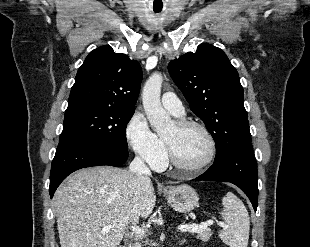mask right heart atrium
Masks as SVG:
<instances>
[{
  "instance_id": "obj_1",
  "label": "right heart atrium",
  "mask_w": 310,
  "mask_h": 247,
  "mask_svg": "<svg viewBox=\"0 0 310 247\" xmlns=\"http://www.w3.org/2000/svg\"><path fill=\"white\" fill-rule=\"evenodd\" d=\"M125 138L131 150L154 169L164 166L167 158L162 139L149 127L141 113H135L125 128Z\"/></svg>"
}]
</instances>
